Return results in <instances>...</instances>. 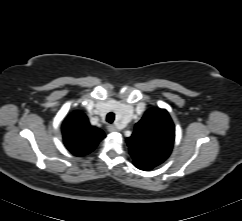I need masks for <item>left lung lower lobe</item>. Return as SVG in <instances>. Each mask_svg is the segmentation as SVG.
<instances>
[{
	"label": "left lung lower lobe",
	"instance_id": "obj_1",
	"mask_svg": "<svg viewBox=\"0 0 242 221\" xmlns=\"http://www.w3.org/2000/svg\"><path fill=\"white\" fill-rule=\"evenodd\" d=\"M137 168H139L141 170H150V169H152L154 167H148V166H146V167H137Z\"/></svg>",
	"mask_w": 242,
	"mask_h": 221
}]
</instances>
